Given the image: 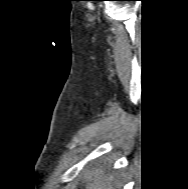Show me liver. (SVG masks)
Masks as SVG:
<instances>
[{
    "label": "liver",
    "instance_id": "liver-1",
    "mask_svg": "<svg viewBox=\"0 0 188 189\" xmlns=\"http://www.w3.org/2000/svg\"><path fill=\"white\" fill-rule=\"evenodd\" d=\"M113 176L105 174L102 169H96L87 173L86 176V189H114L112 185ZM116 182V186H118Z\"/></svg>",
    "mask_w": 188,
    "mask_h": 189
}]
</instances>
